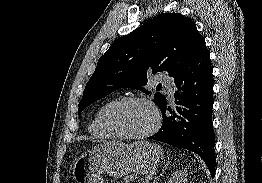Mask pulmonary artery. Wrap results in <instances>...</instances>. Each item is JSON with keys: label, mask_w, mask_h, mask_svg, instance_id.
Segmentation results:
<instances>
[{"label": "pulmonary artery", "mask_w": 262, "mask_h": 183, "mask_svg": "<svg viewBox=\"0 0 262 183\" xmlns=\"http://www.w3.org/2000/svg\"><path fill=\"white\" fill-rule=\"evenodd\" d=\"M161 81L163 82V84L165 85V87L167 89L169 98L173 99L174 91H175V84H174V82H172L171 80H169L167 78H162Z\"/></svg>", "instance_id": "1"}]
</instances>
